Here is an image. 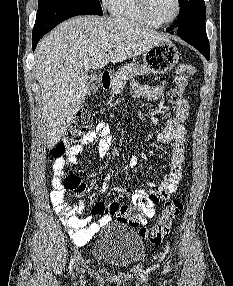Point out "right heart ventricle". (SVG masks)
I'll use <instances>...</instances> for the list:
<instances>
[{
    "label": "right heart ventricle",
    "instance_id": "right-heart-ventricle-1",
    "mask_svg": "<svg viewBox=\"0 0 233 286\" xmlns=\"http://www.w3.org/2000/svg\"><path fill=\"white\" fill-rule=\"evenodd\" d=\"M106 6L114 17L152 25L141 12L137 0H107Z\"/></svg>",
    "mask_w": 233,
    "mask_h": 286
}]
</instances>
